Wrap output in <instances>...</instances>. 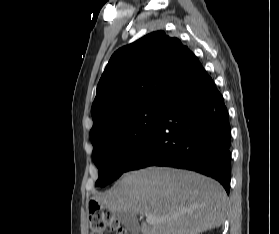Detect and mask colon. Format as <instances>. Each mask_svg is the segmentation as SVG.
<instances>
[{
    "label": "colon",
    "mask_w": 279,
    "mask_h": 234,
    "mask_svg": "<svg viewBox=\"0 0 279 234\" xmlns=\"http://www.w3.org/2000/svg\"><path fill=\"white\" fill-rule=\"evenodd\" d=\"M109 230H114L118 234H128L120 227L112 211L92 202L89 206L90 234H105Z\"/></svg>",
    "instance_id": "5ec220e1"
}]
</instances>
